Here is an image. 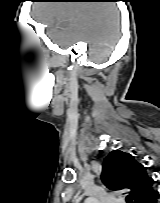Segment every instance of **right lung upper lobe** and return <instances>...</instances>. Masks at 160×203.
Returning a JSON list of instances; mask_svg holds the SVG:
<instances>
[{"label": "right lung upper lobe", "mask_w": 160, "mask_h": 203, "mask_svg": "<svg viewBox=\"0 0 160 203\" xmlns=\"http://www.w3.org/2000/svg\"><path fill=\"white\" fill-rule=\"evenodd\" d=\"M101 179L111 190H129L134 203H143L155 192L156 181L148 175L147 168L120 150H113L104 159Z\"/></svg>", "instance_id": "1"}]
</instances>
